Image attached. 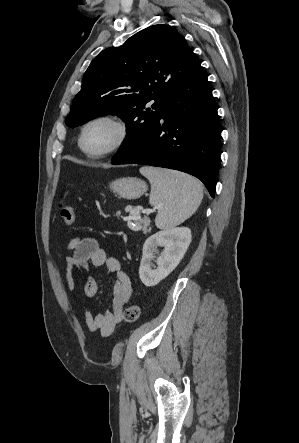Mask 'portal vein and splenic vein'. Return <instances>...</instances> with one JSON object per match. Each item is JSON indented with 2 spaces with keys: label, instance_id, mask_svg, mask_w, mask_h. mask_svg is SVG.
<instances>
[{
  "label": "portal vein and splenic vein",
  "instance_id": "obj_1",
  "mask_svg": "<svg viewBox=\"0 0 299 443\" xmlns=\"http://www.w3.org/2000/svg\"><path fill=\"white\" fill-rule=\"evenodd\" d=\"M151 211H152V210H149V211L147 212V214H149ZM133 214H135V212H133Z\"/></svg>",
  "mask_w": 299,
  "mask_h": 443
}]
</instances>
